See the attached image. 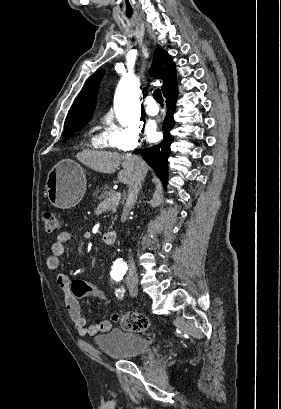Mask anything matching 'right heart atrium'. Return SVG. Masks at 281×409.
<instances>
[{"label":"right heart atrium","mask_w":281,"mask_h":409,"mask_svg":"<svg viewBox=\"0 0 281 409\" xmlns=\"http://www.w3.org/2000/svg\"><path fill=\"white\" fill-rule=\"evenodd\" d=\"M122 116L125 120H120V124L115 123L114 119H104L106 128L103 137L107 147L118 150L140 148L144 143V138L141 136L138 115Z\"/></svg>","instance_id":"d8ad5b80"}]
</instances>
